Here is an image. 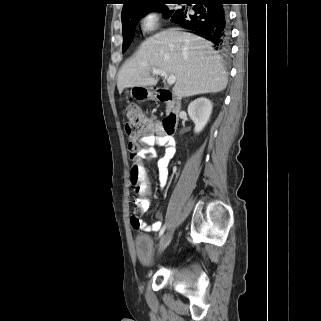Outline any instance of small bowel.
<instances>
[{"instance_id": "obj_1", "label": "small bowel", "mask_w": 321, "mask_h": 321, "mask_svg": "<svg viewBox=\"0 0 321 321\" xmlns=\"http://www.w3.org/2000/svg\"><path fill=\"white\" fill-rule=\"evenodd\" d=\"M151 132L152 133L144 135L139 141L142 147V150L139 152V157L150 156L148 148L153 146H160L164 148V154L158 161L159 186L164 188L169 179L170 162L176 153L175 142L174 139L163 130V127L159 123H154L152 125ZM134 204L135 208L140 213L146 212L150 207V201L147 198H137V191L134 198ZM158 218L159 220L151 224H147L140 219L137 222H134L131 218L130 222L134 229L145 232H156L161 228L162 224L160 220L161 216L159 215Z\"/></svg>"}]
</instances>
